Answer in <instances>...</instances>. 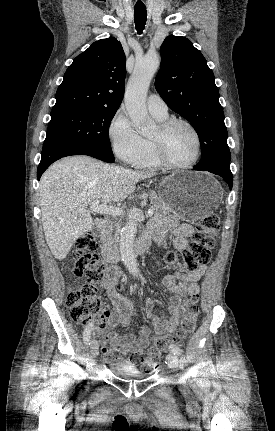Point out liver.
<instances>
[{
  "label": "liver",
  "mask_w": 275,
  "mask_h": 431,
  "mask_svg": "<svg viewBox=\"0 0 275 431\" xmlns=\"http://www.w3.org/2000/svg\"><path fill=\"white\" fill-rule=\"evenodd\" d=\"M150 173L109 165L88 156H72L54 163L43 174L39 202L46 242L58 259H64L94 221L88 205L120 202L131 195Z\"/></svg>",
  "instance_id": "liver-1"
}]
</instances>
